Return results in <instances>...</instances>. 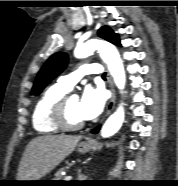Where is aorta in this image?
Instances as JSON below:
<instances>
[{
    "label": "aorta",
    "mask_w": 178,
    "mask_h": 186,
    "mask_svg": "<svg viewBox=\"0 0 178 186\" xmlns=\"http://www.w3.org/2000/svg\"><path fill=\"white\" fill-rule=\"evenodd\" d=\"M95 50H98L101 58L107 64L118 89L123 90L125 87L126 75L123 62L115 46L104 40L92 39L78 45L74 50V56L76 58H85L92 55ZM123 121L124 108L120 105L103 125L101 136L107 138L114 135L121 128Z\"/></svg>",
    "instance_id": "762f6f07"
}]
</instances>
